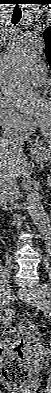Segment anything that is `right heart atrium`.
Wrapping results in <instances>:
<instances>
[{
	"mask_svg": "<svg viewBox=\"0 0 51 393\" xmlns=\"http://www.w3.org/2000/svg\"><path fill=\"white\" fill-rule=\"evenodd\" d=\"M0 125L3 130L18 136L29 135L34 124L23 117L7 100H0Z\"/></svg>",
	"mask_w": 51,
	"mask_h": 393,
	"instance_id": "1",
	"label": "right heart atrium"
}]
</instances>
